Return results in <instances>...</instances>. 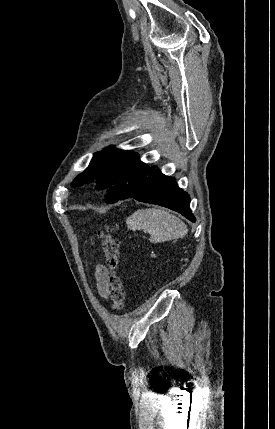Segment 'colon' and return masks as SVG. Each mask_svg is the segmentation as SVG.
Listing matches in <instances>:
<instances>
[{
	"instance_id": "5ec220e1",
	"label": "colon",
	"mask_w": 275,
	"mask_h": 429,
	"mask_svg": "<svg viewBox=\"0 0 275 429\" xmlns=\"http://www.w3.org/2000/svg\"><path fill=\"white\" fill-rule=\"evenodd\" d=\"M99 237L102 241L105 263L110 270L108 285L110 289L112 308L119 311L123 309L125 303L123 282L117 274L120 242L107 231L99 232Z\"/></svg>"
}]
</instances>
